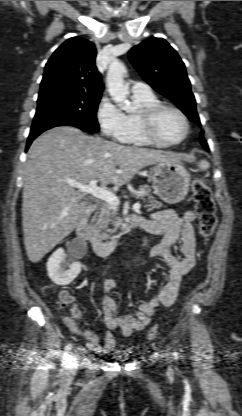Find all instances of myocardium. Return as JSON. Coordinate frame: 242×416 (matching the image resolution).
<instances>
[{
    "instance_id": "obj_1",
    "label": "myocardium",
    "mask_w": 242,
    "mask_h": 416,
    "mask_svg": "<svg viewBox=\"0 0 242 416\" xmlns=\"http://www.w3.org/2000/svg\"><path fill=\"white\" fill-rule=\"evenodd\" d=\"M170 110L175 112L183 121L184 124V133L183 135L173 141L163 139L156 130V121L159 115L165 111ZM139 120L141 124L142 131L144 135L153 143L160 145V146H173L182 143L189 134V121L185 113L176 106L165 104V103H158L151 107L143 108L139 113Z\"/></svg>"
}]
</instances>
